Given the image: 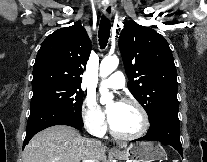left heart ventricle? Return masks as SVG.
Wrapping results in <instances>:
<instances>
[{"instance_id":"b2bd125f","label":"left heart ventricle","mask_w":207,"mask_h":162,"mask_svg":"<svg viewBox=\"0 0 207 162\" xmlns=\"http://www.w3.org/2000/svg\"><path fill=\"white\" fill-rule=\"evenodd\" d=\"M108 111L112 115L110 122L119 133L133 134L141 129L142 115L136 106L114 102Z\"/></svg>"}]
</instances>
